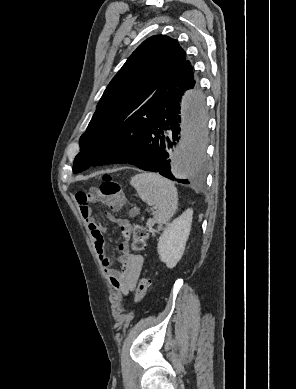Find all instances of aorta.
<instances>
[{
    "instance_id": "aorta-1",
    "label": "aorta",
    "mask_w": 296,
    "mask_h": 389,
    "mask_svg": "<svg viewBox=\"0 0 296 389\" xmlns=\"http://www.w3.org/2000/svg\"><path fill=\"white\" fill-rule=\"evenodd\" d=\"M182 131L180 142L172 154L171 171L179 178L197 173L201 162H207V134L204 130L206 94L183 91L181 94Z\"/></svg>"
}]
</instances>
